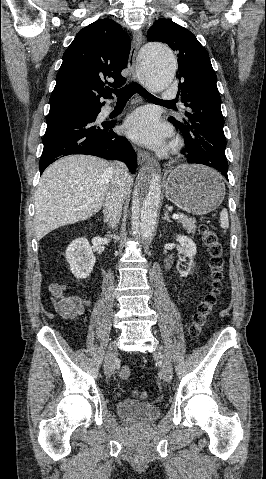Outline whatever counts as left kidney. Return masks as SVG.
<instances>
[{
    "label": "left kidney",
    "mask_w": 266,
    "mask_h": 479,
    "mask_svg": "<svg viewBox=\"0 0 266 479\" xmlns=\"http://www.w3.org/2000/svg\"><path fill=\"white\" fill-rule=\"evenodd\" d=\"M177 240L180 243L179 252L182 255L188 257L191 261L188 268H186L184 270L177 267V270L180 273V275L182 277H187V275L190 273V270H191L192 259L197 253L196 245H195V243L193 242L192 239H190L189 237L184 236V235H182V236L178 235Z\"/></svg>",
    "instance_id": "1"
}]
</instances>
